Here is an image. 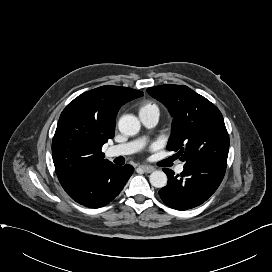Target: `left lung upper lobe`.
I'll use <instances>...</instances> for the list:
<instances>
[{
  "label": "left lung upper lobe",
  "instance_id": "left-lung-upper-lobe-1",
  "mask_svg": "<svg viewBox=\"0 0 272 272\" xmlns=\"http://www.w3.org/2000/svg\"><path fill=\"white\" fill-rule=\"evenodd\" d=\"M173 117L167 149L177 152L186 164L227 163L229 136L219 109L184 85H161L147 89Z\"/></svg>",
  "mask_w": 272,
  "mask_h": 272
}]
</instances>
